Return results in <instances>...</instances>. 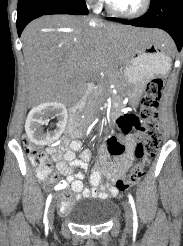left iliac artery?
<instances>
[{"label":"left iliac artery","mask_w":183,"mask_h":246,"mask_svg":"<svg viewBox=\"0 0 183 246\" xmlns=\"http://www.w3.org/2000/svg\"><path fill=\"white\" fill-rule=\"evenodd\" d=\"M128 198H129V202L131 204L132 210H133V226H134V228H137L138 218H137V214H136L135 202H134L133 196L130 193L128 194Z\"/></svg>","instance_id":"obj_1"}]
</instances>
